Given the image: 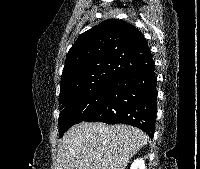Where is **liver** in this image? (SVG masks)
<instances>
[{
  "label": "liver",
  "mask_w": 200,
  "mask_h": 169,
  "mask_svg": "<svg viewBox=\"0 0 200 169\" xmlns=\"http://www.w3.org/2000/svg\"><path fill=\"white\" fill-rule=\"evenodd\" d=\"M148 140L133 126L82 122L60 140L55 169H125Z\"/></svg>",
  "instance_id": "1"
}]
</instances>
